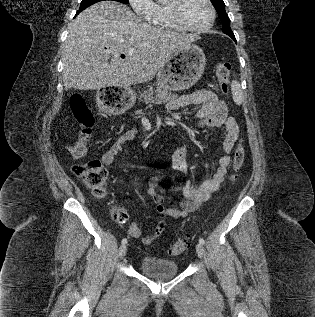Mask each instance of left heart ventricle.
I'll use <instances>...</instances> for the list:
<instances>
[{
  "label": "left heart ventricle",
  "instance_id": "b2bd125f",
  "mask_svg": "<svg viewBox=\"0 0 315 317\" xmlns=\"http://www.w3.org/2000/svg\"><path fill=\"white\" fill-rule=\"evenodd\" d=\"M181 16L191 27H203L210 19V11L204 0H184Z\"/></svg>",
  "mask_w": 315,
  "mask_h": 317
}]
</instances>
